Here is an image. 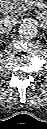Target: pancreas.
Instances as JSON below:
<instances>
[{
    "label": "pancreas",
    "instance_id": "obj_1",
    "mask_svg": "<svg viewBox=\"0 0 47 129\" xmlns=\"http://www.w3.org/2000/svg\"><path fill=\"white\" fill-rule=\"evenodd\" d=\"M14 1L17 4L16 11L22 13L28 9L32 0H14Z\"/></svg>",
    "mask_w": 47,
    "mask_h": 129
}]
</instances>
